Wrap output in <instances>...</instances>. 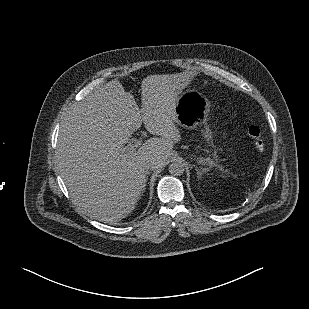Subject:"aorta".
I'll return each instance as SVG.
<instances>
[{
  "label": "aorta",
  "mask_w": 309,
  "mask_h": 309,
  "mask_svg": "<svg viewBox=\"0 0 309 309\" xmlns=\"http://www.w3.org/2000/svg\"><path fill=\"white\" fill-rule=\"evenodd\" d=\"M185 171L184 162L180 159L173 161L169 165V173L174 176H181Z\"/></svg>",
  "instance_id": "aorta-1"
}]
</instances>
